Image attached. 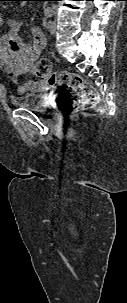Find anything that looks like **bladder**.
<instances>
[{
  "instance_id": "1",
  "label": "bladder",
  "mask_w": 127,
  "mask_h": 303,
  "mask_svg": "<svg viewBox=\"0 0 127 303\" xmlns=\"http://www.w3.org/2000/svg\"><path fill=\"white\" fill-rule=\"evenodd\" d=\"M13 106L20 109L32 110L35 112H45L47 106L43 102L41 94L25 93L11 97Z\"/></svg>"
}]
</instances>
